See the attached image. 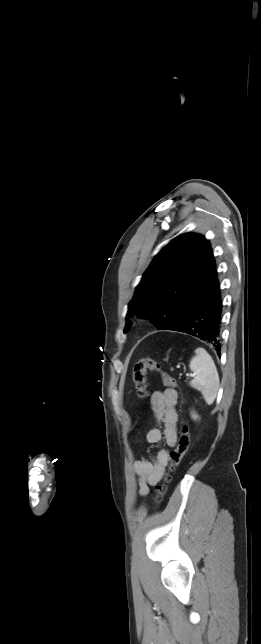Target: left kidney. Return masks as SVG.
<instances>
[{
  "label": "left kidney",
  "mask_w": 261,
  "mask_h": 644,
  "mask_svg": "<svg viewBox=\"0 0 261 644\" xmlns=\"http://www.w3.org/2000/svg\"><path fill=\"white\" fill-rule=\"evenodd\" d=\"M192 418H193V419H197V418H198V416H197V415H195V414H192Z\"/></svg>",
  "instance_id": "left-kidney-1"
}]
</instances>
